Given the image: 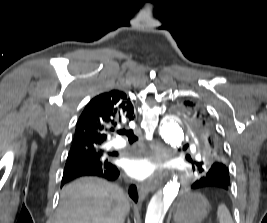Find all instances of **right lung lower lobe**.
I'll use <instances>...</instances> for the list:
<instances>
[{
    "label": "right lung lower lobe",
    "instance_id": "obj_1",
    "mask_svg": "<svg viewBox=\"0 0 267 223\" xmlns=\"http://www.w3.org/2000/svg\"><path fill=\"white\" fill-rule=\"evenodd\" d=\"M83 176H96L107 179L109 181H115L119 178L120 171L113 164H109L107 166L102 167H98L95 165L86 166L74 171L64 173L61 186H63L66 182ZM129 195L135 202L138 201L137 188L135 185H131L129 187Z\"/></svg>",
    "mask_w": 267,
    "mask_h": 223
}]
</instances>
